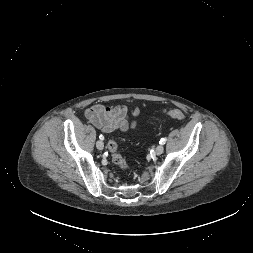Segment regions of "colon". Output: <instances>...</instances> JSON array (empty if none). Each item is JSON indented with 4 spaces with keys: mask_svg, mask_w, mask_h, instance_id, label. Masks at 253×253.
I'll list each match as a JSON object with an SVG mask.
<instances>
[{
    "mask_svg": "<svg viewBox=\"0 0 253 253\" xmlns=\"http://www.w3.org/2000/svg\"><path fill=\"white\" fill-rule=\"evenodd\" d=\"M164 112L177 120H183L185 117L183 112L179 109H167ZM107 148L111 153L113 163L122 170H128L129 165L124 157L119 153L117 143L111 139L107 143Z\"/></svg>",
    "mask_w": 253,
    "mask_h": 253,
    "instance_id": "5ec220e1",
    "label": "colon"
}]
</instances>
